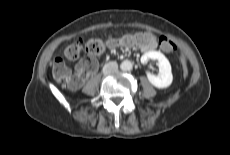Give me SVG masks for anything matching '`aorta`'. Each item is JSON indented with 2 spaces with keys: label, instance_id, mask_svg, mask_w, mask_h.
Returning <instances> with one entry per match:
<instances>
[{
  "label": "aorta",
  "instance_id": "1",
  "mask_svg": "<svg viewBox=\"0 0 230 155\" xmlns=\"http://www.w3.org/2000/svg\"><path fill=\"white\" fill-rule=\"evenodd\" d=\"M121 69L123 70V71H130V70H132V68H133V64H132V62L131 61H129V60H125V61H123L122 63H121Z\"/></svg>",
  "mask_w": 230,
  "mask_h": 155
}]
</instances>
